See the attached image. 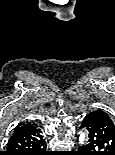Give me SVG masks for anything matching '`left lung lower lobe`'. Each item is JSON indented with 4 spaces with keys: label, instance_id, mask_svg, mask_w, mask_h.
<instances>
[{
    "label": "left lung lower lobe",
    "instance_id": "0a47b994",
    "mask_svg": "<svg viewBox=\"0 0 115 155\" xmlns=\"http://www.w3.org/2000/svg\"><path fill=\"white\" fill-rule=\"evenodd\" d=\"M81 127L88 140L86 146L79 147L78 155H115V125L105 112L89 113Z\"/></svg>",
    "mask_w": 115,
    "mask_h": 155
}]
</instances>
